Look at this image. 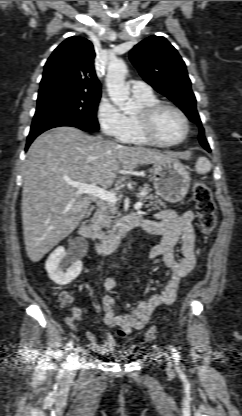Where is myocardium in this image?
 I'll return each instance as SVG.
<instances>
[{"label": "myocardium", "instance_id": "1", "mask_svg": "<svg viewBox=\"0 0 242 416\" xmlns=\"http://www.w3.org/2000/svg\"><path fill=\"white\" fill-rule=\"evenodd\" d=\"M164 109H170L176 112L183 121L184 132L183 135L174 141H166L161 139L155 132L154 123L156 116ZM137 122L143 137L151 144L159 146H174L181 144L188 136L190 125L186 114L177 106L166 103L156 102L154 104L144 106L140 113L136 116Z\"/></svg>", "mask_w": 242, "mask_h": 416}]
</instances>
